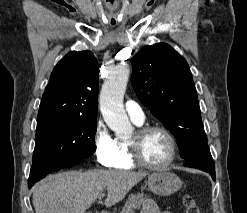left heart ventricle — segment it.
<instances>
[{
    "mask_svg": "<svg viewBox=\"0 0 247 213\" xmlns=\"http://www.w3.org/2000/svg\"><path fill=\"white\" fill-rule=\"evenodd\" d=\"M135 134L132 136L133 139ZM130 139V140H131ZM170 152L167 137L159 131H151L140 140V153L142 158L151 164L164 163Z\"/></svg>",
    "mask_w": 247,
    "mask_h": 213,
    "instance_id": "1",
    "label": "left heart ventricle"
}]
</instances>
